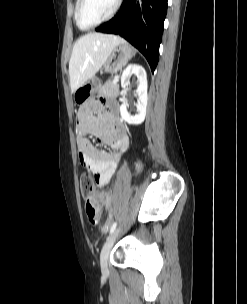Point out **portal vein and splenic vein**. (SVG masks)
<instances>
[{"instance_id": "18ae733b", "label": "portal vein and splenic vein", "mask_w": 247, "mask_h": 304, "mask_svg": "<svg viewBox=\"0 0 247 304\" xmlns=\"http://www.w3.org/2000/svg\"><path fill=\"white\" fill-rule=\"evenodd\" d=\"M118 81H119L118 78H115V79L113 80L114 83H117Z\"/></svg>"}]
</instances>
